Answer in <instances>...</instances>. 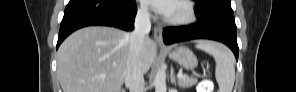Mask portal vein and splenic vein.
Listing matches in <instances>:
<instances>
[{"mask_svg":"<svg viewBox=\"0 0 296 92\" xmlns=\"http://www.w3.org/2000/svg\"><path fill=\"white\" fill-rule=\"evenodd\" d=\"M184 77H186V75H184V74H182V73H178V75H177V78H178V79H181V78H184Z\"/></svg>","mask_w":296,"mask_h":92,"instance_id":"obj_1","label":"portal vein and splenic vein"}]
</instances>
